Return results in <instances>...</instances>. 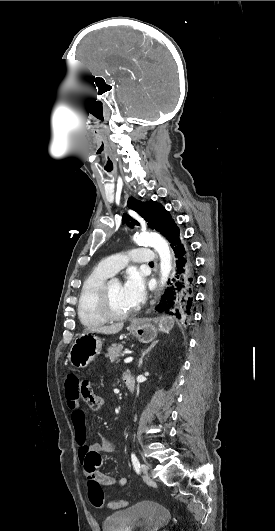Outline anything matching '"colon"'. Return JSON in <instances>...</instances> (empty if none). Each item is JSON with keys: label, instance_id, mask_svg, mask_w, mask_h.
Here are the masks:
<instances>
[{"label": "colon", "instance_id": "5ec220e1", "mask_svg": "<svg viewBox=\"0 0 275 531\" xmlns=\"http://www.w3.org/2000/svg\"><path fill=\"white\" fill-rule=\"evenodd\" d=\"M96 384L94 381H89L85 378V381L80 383V400L81 402H87L88 406L93 410H98L102 406V398L95 391ZM87 488H90L89 494L91 496L93 506L95 509H103L104 503L102 501L104 491L97 482L87 481L85 483ZM128 503L124 501H111L108 503L109 508H115L117 510H123L127 507Z\"/></svg>", "mask_w": 275, "mask_h": 531}]
</instances>
